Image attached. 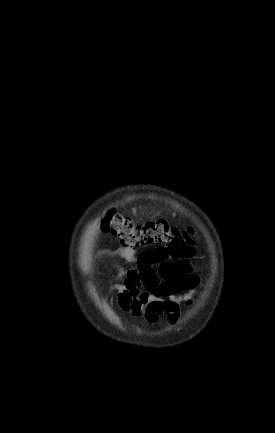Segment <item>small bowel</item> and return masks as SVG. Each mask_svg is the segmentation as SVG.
Instances as JSON below:
<instances>
[{"label":"small bowel","mask_w":275,"mask_h":433,"mask_svg":"<svg viewBox=\"0 0 275 433\" xmlns=\"http://www.w3.org/2000/svg\"><path fill=\"white\" fill-rule=\"evenodd\" d=\"M165 249L153 248L140 253L119 247L102 256H121L135 264L131 269L115 268L111 291L117 295L119 307L134 316L154 323L165 316L174 324L182 302L189 303L200 279L194 273L190 257L167 260Z\"/></svg>","instance_id":"obj_1"}]
</instances>
